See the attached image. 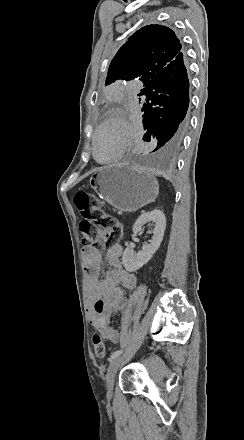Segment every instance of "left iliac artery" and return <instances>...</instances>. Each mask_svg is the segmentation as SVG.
Here are the masks:
<instances>
[{
  "mask_svg": "<svg viewBox=\"0 0 244 440\" xmlns=\"http://www.w3.org/2000/svg\"><path fill=\"white\" fill-rule=\"evenodd\" d=\"M122 350H116V351H114L112 354H111V356H110V358L108 359L109 361H111L112 359H114L115 357H117V356H120L121 354H122Z\"/></svg>",
  "mask_w": 244,
  "mask_h": 440,
  "instance_id": "left-iliac-artery-1",
  "label": "left iliac artery"
}]
</instances>
